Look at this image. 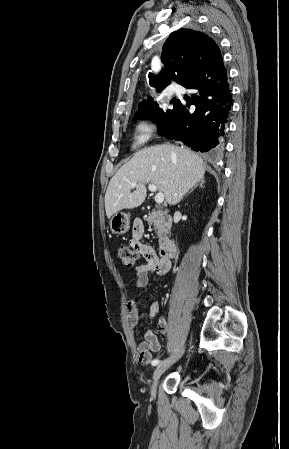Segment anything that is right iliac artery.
<instances>
[{
	"mask_svg": "<svg viewBox=\"0 0 289 449\" xmlns=\"http://www.w3.org/2000/svg\"><path fill=\"white\" fill-rule=\"evenodd\" d=\"M159 363H160V360H158V359H155V360L152 361V365L153 366H156Z\"/></svg>",
	"mask_w": 289,
	"mask_h": 449,
	"instance_id": "right-iliac-artery-1",
	"label": "right iliac artery"
}]
</instances>
